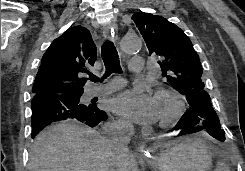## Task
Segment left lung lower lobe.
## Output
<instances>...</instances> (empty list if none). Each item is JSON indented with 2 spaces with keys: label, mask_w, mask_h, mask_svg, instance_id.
Listing matches in <instances>:
<instances>
[{
  "label": "left lung lower lobe",
  "mask_w": 245,
  "mask_h": 171,
  "mask_svg": "<svg viewBox=\"0 0 245 171\" xmlns=\"http://www.w3.org/2000/svg\"><path fill=\"white\" fill-rule=\"evenodd\" d=\"M184 95L189 103V109L173 128L179 131L178 136L207 129L212 137L224 142L225 134L212 107L209 94L204 89H192Z\"/></svg>",
  "instance_id": "left-lung-lower-lobe-1"
}]
</instances>
